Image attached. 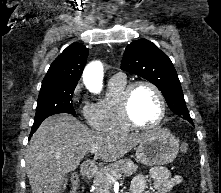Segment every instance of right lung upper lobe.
I'll return each instance as SVG.
<instances>
[{"instance_id":"obj_1","label":"right lung upper lobe","mask_w":221,"mask_h":193,"mask_svg":"<svg viewBox=\"0 0 221 193\" xmlns=\"http://www.w3.org/2000/svg\"><path fill=\"white\" fill-rule=\"evenodd\" d=\"M88 49L80 44L68 46L51 64L42 88L76 86L86 64Z\"/></svg>"}]
</instances>
